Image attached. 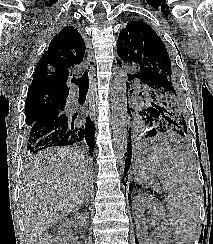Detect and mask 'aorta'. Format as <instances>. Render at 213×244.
Instances as JSON below:
<instances>
[{
    "label": "aorta",
    "instance_id": "obj_1",
    "mask_svg": "<svg viewBox=\"0 0 213 244\" xmlns=\"http://www.w3.org/2000/svg\"><path fill=\"white\" fill-rule=\"evenodd\" d=\"M126 79L124 71L116 68L112 80V128L114 150L120 166L124 165L128 145Z\"/></svg>",
    "mask_w": 213,
    "mask_h": 244
}]
</instances>
